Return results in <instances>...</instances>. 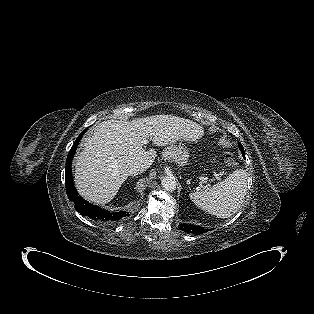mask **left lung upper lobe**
Wrapping results in <instances>:
<instances>
[{
	"label": "left lung upper lobe",
	"mask_w": 314,
	"mask_h": 314,
	"mask_svg": "<svg viewBox=\"0 0 314 314\" xmlns=\"http://www.w3.org/2000/svg\"><path fill=\"white\" fill-rule=\"evenodd\" d=\"M239 148L241 151H244L243 146L241 145V143L239 142Z\"/></svg>",
	"instance_id": "5c2ea615"
}]
</instances>
